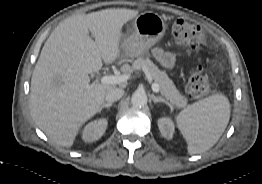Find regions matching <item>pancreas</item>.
Returning a JSON list of instances; mask_svg holds the SVG:
<instances>
[{"mask_svg": "<svg viewBox=\"0 0 262 184\" xmlns=\"http://www.w3.org/2000/svg\"><path fill=\"white\" fill-rule=\"evenodd\" d=\"M135 71L146 70L150 77L160 87V92L170 103L178 108H184L187 105V99L176 89L173 81L169 79L164 71H160L149 58L139 57L132 64ZM123 71L128 72L127 67H123Z\"/></svg>", "mask_w": 262, "mask_h": 184, "instance_id": "pancreas-1", "label": "pancreas"}]
</instances>
